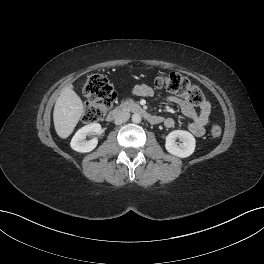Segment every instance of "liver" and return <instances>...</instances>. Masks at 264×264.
<instances>
[{
    "label": "liver",
    "mask_w": 264,
    "mask_h": 264,
    "mask_svg": "<svg viewBox=\"0 0 264 264\" xmlns=\"http://www.w3.org/2000/svg\"><path fill=\"white\" fill-rule=\"evenodd\" d=\"M83 112V102L73 90V86L65 87L57 98L53 111V121L57 135L62 139L69 137Z\"/></svg>",
    "instance_id": "1"
}]
</instances>
